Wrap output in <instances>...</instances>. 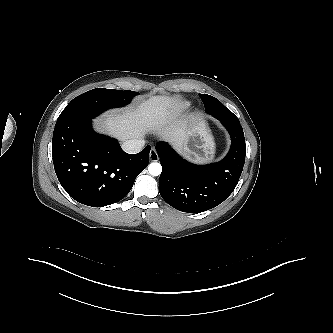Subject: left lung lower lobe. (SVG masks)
Segmentation results:
<instances>
[{
    "mask_svg": "<svg viewBox=\"0 0 333 333\" xmlns=\"http://www.w3.org/2000/svg\"><path fill=\"white\" fill-rule=\"evenodd\" d=\"M231 136L228 154L219 162L195 165L178 155L169 144L159 142L162 173L159 192L172 207L188 213L204 212L221 204L234 190L243 170L246 145L238 118L211 114Z\"/></svg>",
    "mask_w": 333,
    "mask_h": 333,
    "instance_id": "left-lung-lower-lobe-1",
    "label": "left lung lower lobe"
}]
</instances>
